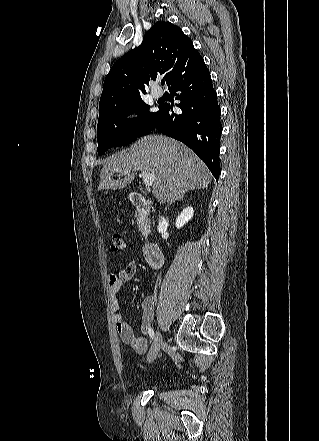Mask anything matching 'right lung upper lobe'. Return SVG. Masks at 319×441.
Here are the masks:
<instances>
[{"label":"right lung upper lobe","mask_w":319,"mask_h":441,"mask_svg":"<svg viewBox=\"0 0 319 441\" xmlns=\"http://www.w3.org/2000/svg\"><path fill=\"white\" fill-rule=\"evenodd\" d=\"M203 58L182 30L170 22H157L142 44L114 63L105 78L99 111L141 99L145 85L164 75L170 86Z\"/></svg>","instance_id":"right-lung-upper-lobe-1"}]
</instances>
